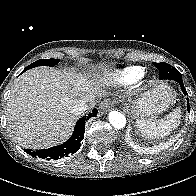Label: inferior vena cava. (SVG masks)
Returning a JSON list of instances; mask_svg holds the SVG:
<instances>
[{
    "mask_svg": "<svg viewBox=\"0 0 196 196\" xmlns=\"http://www.w3.org/2000/svg\"><path fill=\"white\" fill-rule=\"evenodd\" d=\"M88 103L84 100H75L70 106L71 112L75 115H81L88 109Z\"/></svg>",
    "mask_w": 196,
    "mask_h": 196,
    "instance_id": "obj_1",
    "label": "inferior vena cava"
}]
</instances>
